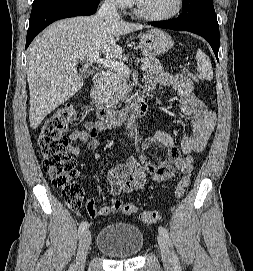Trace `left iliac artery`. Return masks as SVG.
<instances>
[{
	"mask_svg": "<svg viewBox=\"0 0 253 271\" xmlns=\"http://www.w3.org/2000/svg\"><path fill=\"white\" fill-rule=\"evenodd\" d=\"M158 231H159V234H160L164 239H166V241L169 243V245L172 246L171 241H170V239H169V235H168L167 230H166L164 227L160 226V227L158 228ZM173 263H174L175 270H176V271H181V267H180L179 260H178L176 254H175L174 252H173Z\"/></svg>",
	"mask_w": 253,
	"mask_h": 271,
	"instance_id": "left-iliac-artery-1",
	"label": "left iliac artery"
}]
</instances>
